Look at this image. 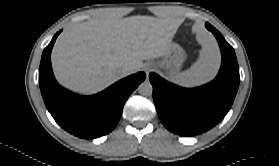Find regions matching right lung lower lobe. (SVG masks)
Returning a JSON list of instances; mask_svg holds the SVG:
<instances>
[{
	"label": "right lung lower lobe",
	"mask_w": 279,
	"mask_h": 166,
	"mask_svg": "<svg viewBox=\"0 0 279 166\" xmlns=\"http://www.w3.org/2000/svg\"><path fill=\"white\" fill-rule=\"evenodd\" d=\"M61 30L44 49L39 67V84L46 108L69 133L94 139L111 132L118 124L124 104L146 74L128 76L92 96H79L60 87L53 75L51 51Z\"/></svg>",
	"instance_id": "right-lung-lower-lobe-1"
}]
</instances>
